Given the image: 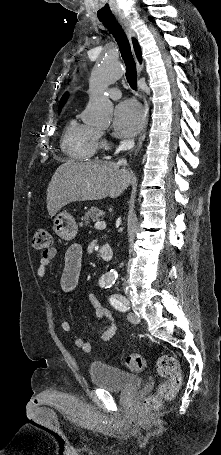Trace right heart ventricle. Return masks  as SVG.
<instances>
[{"mask_svg":"<svg viewBox=\"0 0 221 455\" xmlns=\"http://www.w3.org/2000/svg\"><path fill=\"white\" fill-rule=\"evenodd\" d=\"M99 144V131L72 117L67 122L61 140V148L65 155L77 161L91 159Z\"/></svg>","mask_w":221,"mask_h":455,"instance_id":"e07e8e85","label":"right heart ventricle"}]
</instances>
